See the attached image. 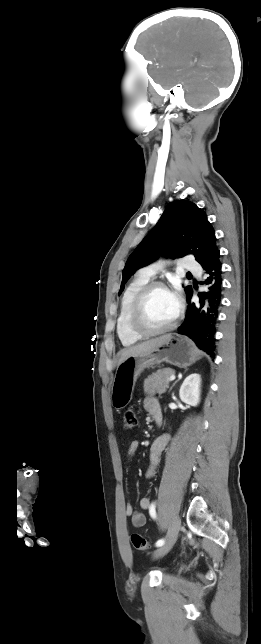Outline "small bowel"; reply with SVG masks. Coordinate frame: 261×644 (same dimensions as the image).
<instances>
[{
	"label": "small bowel",
	"instance_id": "small-bowel-1",
	"mask_svg": "<svg viewBox=\"0 0 261 644\" xmlns=\"http://www.w3.org/2000/svg\"><path fill=\"white\" fill-rule=\"evenodd\" d=\"M145 410L152 415L156 420H161V407L159 401L155 397H146L144 400ZM169 441V435L163 434L156 438L150 447L149 453V466L146 470L145 477L152 478L156 472L158 464L160 462V457L165 450V447ZM139 447V442L137 440L131 441L128 448V456L131 457L135 454ZM140 508L142 510L150 509L151 502L147 497H143L139 501ZM125 515L130 519L134 527H142L146 523V516L142 512L134 510V507L131 504H127L125 507Z\"/></svg>",
	"mask_w": 261,
	"mask_h": 644
}]
</instances>
